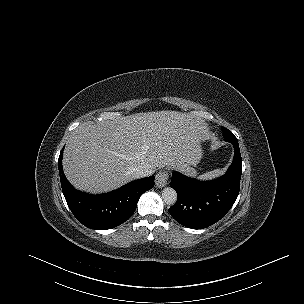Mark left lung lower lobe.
I'll list each match as a JSON object with an SVG mask.
<instances>
[{"mask_svg": "<svg viewBox=\"0 0 304 304\" xmlns=\"http://www.w3.org/2000/svg\"><path fill=\"white\" fill-rule=\"evenodd\" d=\"M235 156L226 174L213 181H199L173 172L170 186L178 199L169 213L181 225L192 229L209 227L233 206L240 190L242 160L238 141L231 142Z\"/></svg>", "mask_w": 304, "mask_h": 304, "instance_id": "obj_1", "label": "left lung lower lobe"}]
</instances>
